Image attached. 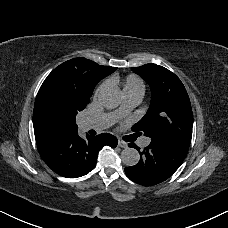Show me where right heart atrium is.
<instances>
[{"instance_id":"obj_1","label":"right heart atrium","mask_w":228,"mask_h":228,"mask_svg":"<svg viewBox=\"0 0 228 228\" xmlns=\"http://www.w3.org/2000/svg\"><path fill=\"white\" fill-rule=\"evenodd\" d=\"M104 94L103 88H100L97 92V96L99 95L100 97Z\"/></svg>"}]
</instances>
